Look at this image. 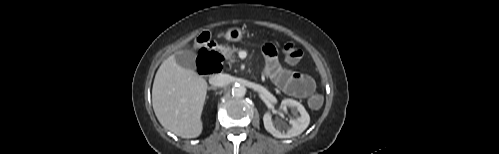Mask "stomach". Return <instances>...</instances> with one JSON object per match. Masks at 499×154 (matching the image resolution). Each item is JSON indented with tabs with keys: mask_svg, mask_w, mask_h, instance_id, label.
Instances as JSON below:
<instances>
[{
	"mask_svg": "<svg viewBox=\"0 0 499 154\" xmlns=\"http://www.w3.org/2000/svg\"><path fill=\"white\" fill-rule=\"evenodd\" d=\"M224 38L227 41H231V42L241 41L243 38V31L238 27L230 28L225 32Z\"/></svg>",
	"mask_w": 499,
	"mask_h": 154,
	"instance_id": "1",
	"label": "stomach"
}]
</instances>
